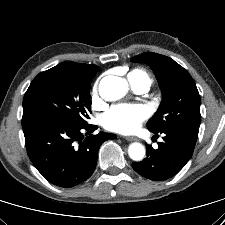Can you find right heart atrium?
<instances>
[{
	"instance_id": "obj_1",
	"label": "right heart atrium",
	"mask_w": 225,
	"mask_h": 225,
	"mask_svg": "<svg viewBox=\"0 0 225 225\" xmlns=\"http://www.w3.org/2000/svg\"><path fill=\"white\" fill-rule=\"evenodd\" d=\"M92 100H93L94 104H99L100 103V99H99V97L97 95V92H96V87L94 88Z\"/></svg>"
}]
</instances>
